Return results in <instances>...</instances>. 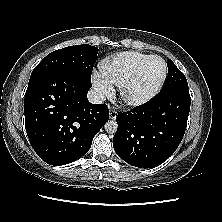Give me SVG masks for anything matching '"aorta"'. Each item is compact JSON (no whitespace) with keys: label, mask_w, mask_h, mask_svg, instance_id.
<instances>
[{"label":"aorta","mask_w":222,"mask_h":222,"mask_svg":"<svg viewBox=\"0 0 222 222\" xmlns=\"http://www.w3.org/2000/svg\"><path fill=\"white\" fill-rule=\"evenodd\" d=\"M104 127L107 133L115 134L118 129V124L114 120H109L108 122L105 123Z\"/></svg>","instance_id":"762f6f07"}]
</instances>
